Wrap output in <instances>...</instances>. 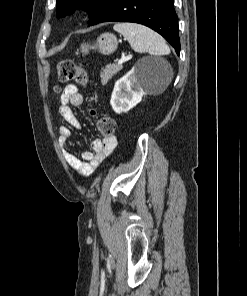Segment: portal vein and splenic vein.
Wrapping results in <instances>:
<instances>
[{
	"label": "portal vein and splenic vein",
	"mask_w": 247,
	"mask_h": 296,
	"mask_svg": "<svg viewBox=\"0 0 247 296\" xmlns=\"http://www.w3.org/2000/svg\"><path fill=\"white\" fill-rule=\"evenodd\" d=\"M131 59V55L125 56L123 55L119 60H118V65H122L124 62L128 61Z\"/></svg>",
	"instance_id": "1"
}]
</instances>
